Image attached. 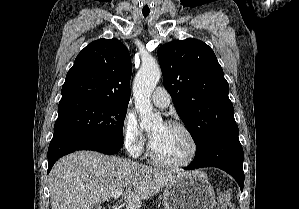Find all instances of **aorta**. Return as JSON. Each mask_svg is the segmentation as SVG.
I'll return each instance as SVG.
<instances>
[{"label":"aorta","mask_w":299,"mask_h":209,"mask_svg":"<svg viewBox=\"0 0 299 209\" xmlns=\"http://www.w3.org/2000/svg\"><path fill=\"white\" fill-rule=\"evenodd\" d=\"M161 77V70L154 62L143 63L133 84L135 107L140 114V126L144 129L161 122L160 115L153 112L150 101L151 94Z\"/></svg>","instance_id":"762f6f07"}]
</instances>
